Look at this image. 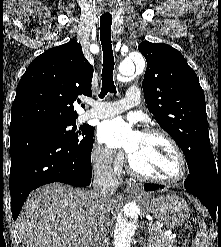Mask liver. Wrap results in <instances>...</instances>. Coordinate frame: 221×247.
Returning <instances> with one entry per match:
<instances>
[{
    "label": "liver",
    "mask_w": 221,
    "mask_h": 247,
    "mask_svg": "<svg viewBox=\"0 0 221 247\" xmlns=\"http://www.w3.org/2000/svg\"><path fill=\"white\" fill-rule=\"evenodd\" d=\"M117 205L118 198L111 197L108 217ZM99 220L90 191L53 183L29 195L17 228L27 247H91ZM108 226L107 219L106 234Z\"/></svg>",
    "instance_id": "obj_1"
}]
</instances>
